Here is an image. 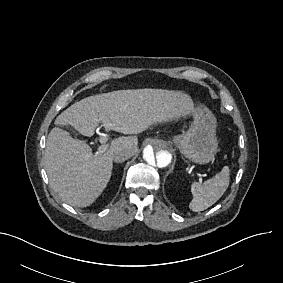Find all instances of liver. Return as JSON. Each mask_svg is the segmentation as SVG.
<instances>
[{"mask_svg": "<svg viewBox=\"0 0 283 283\" xmlns=\"http://www.w3.org/2000/svg\"><path fill=\"white\" fill-rule=\"evenodd\" d=\"M195 112L189 96L159 89L119 90L74 103L57 117L46 143L45 167L53 191L71 206H91L111 180L114 150L129 147L135 154L138 146L136 136L120 137L105 152L93 155L85 141L58 126L91 137L101 123L110 121L115 131L137 135L152 126L193 118Z\"/></svg>", "mask_w": 283, "mask_h": 283, "instance_id": "obj_1", "label": "liver"}]
</instances>
